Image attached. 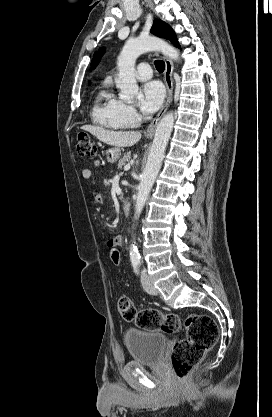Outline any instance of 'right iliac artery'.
<instances>
[{
	"label": "right iliac artery",
	"instance_id": "1",
	"mask_svg": "<svg viewBox=\"0 0 272 417\" xmlns=\"http://www.w3.org/2000/svg\"><path fill=\"white\" fill-rule=\"evenodd\" d=\"M133 268L136 274H138V264L137 263H133Z\"/></svg>",
	"mask_w": 272,
	"mask_h": 417
}]
</instances>
